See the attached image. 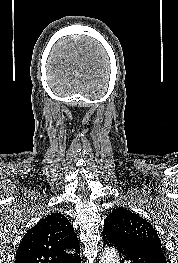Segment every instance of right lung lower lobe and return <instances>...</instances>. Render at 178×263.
<instances>
[{
  "mask_svg": "<svg viewBox=\"0 0 178 263\" xmlns=\"http://www.w3.org/2000/svg\"><path fill=\"white\" fill-rule=\"evenodd\" d=\"M80 262H81V259L79 256L75 257V259L71 261V263H80Z\"/></svg>",
  "mask_w": 178,
  "mask_h": 263,
  "instance_id": "1",
  "label": "right lung lower lobe"
}]
</instances>
